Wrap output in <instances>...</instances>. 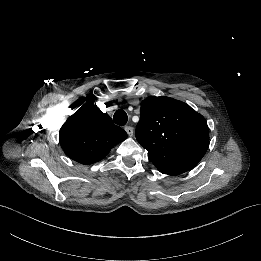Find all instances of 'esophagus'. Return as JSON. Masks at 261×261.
<instances>
[{
    "instance_id": "obj_1",
    "label": "esophagus",
    "mask_w": 261,
    "mask_h": 261,
    "mask_svg": "<svg viewBox=\"0 0 261 261\" xmlns=\"http://www.w3.org/2000/svg\"><path fill=\"white\" fill-rule=\"evenodd\" d=\"M124 130L127 132V134L132 137L133 136V128L131 126H126Z\"/></svg>"
}]
</instances>
